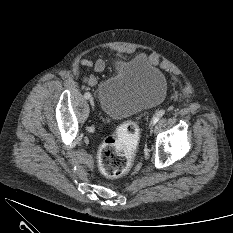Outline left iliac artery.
I'll list each match as a JSON object with an SVG mask.
<instances>
[{"label": "left iliac artery", "instance_id": "44dca946", "mask_svg": "<svg viewBox=\"0 0 233 233\" xmlns=\"http://www.w3.org/2000/svg\"><path fill=\"white\" fill-rule=\"evenodd\" d=\"M164 114H165L164 110H160V111L156 112L151 120V123L155 124Z\"/></svg>", "mask_w": 233, "mask_h": 233}]
</instances>
